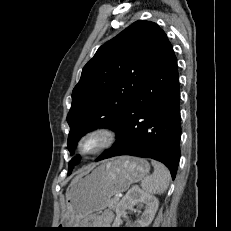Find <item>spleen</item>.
<instances>
[{
    "mask_svg": "<svg viewBox=\"0 0 231 231\" xmlns=\"http://www.w3.org/2000/svg\"><path fill=\"white\" fill-rule=\"evenodd\" d=\"M151 163L154 167V172L152 175L145 177L141 187L149 194H162L169 186L170 173L160 162L152 160Z\"/></svg>",
    "mask_w": 231,
    "mask_h": 231,
    "instance_id": "1",
    "label": "spleen"
}]
</instances>
